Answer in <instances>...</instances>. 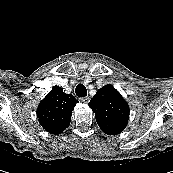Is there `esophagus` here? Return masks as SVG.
Wrapping results in <instances>:
<instances>
[{
    "instance_id": "esophagus-1",
    "label": "esophagus",
    "mask_w": 173,
    "mask_h": 173,
    "mask_svg": "<svg viewBox=\"0 0 173 173\" xmlns=\"http://www.w3.org/2000/svg\"><path fill=\"white\" fill-rule=\"evenodd\" d=\"M80 101L83 103H88L90 101V98L89 97H82V98H80Z\"/></svg>"
}]
</instances>
